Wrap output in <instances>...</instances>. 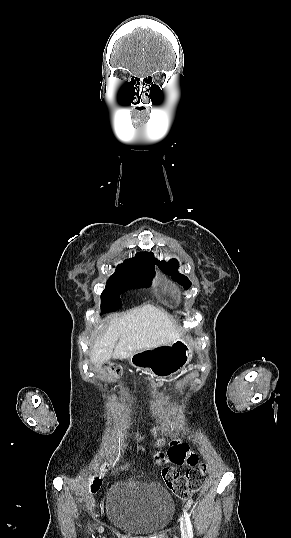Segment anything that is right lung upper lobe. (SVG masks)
Segmentation results:
<instances>
[{
    "label": "right lung upper lobe",
    "mask_w": 291,
    "mask_h": 538,
    "mask_svg": "<svg viewBox=\"0 0 291 538\" xmlns=\"http://www.w3.org/2000/svg\"><path fill=\"white\" fill-rule=\"evenodd\" d=\"M127 260H133L137 262L142 261H150V262H156V259L153 256L152 252H139L136 254L135 257L127 259Z\"/></svg>",
    "instance_id": "1"
}]
</instances>
